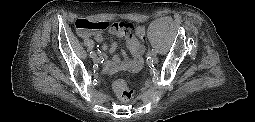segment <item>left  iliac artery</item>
<instances>
[{"mask_svg": "<svg viewBox=\"0 0 255 122\" xmlns=\"http://www.w3.org/2000/svg\"><path fill=\"white\" fill-rule=\"evenodd\" d=\"M151 53L156 55L158 53V51L156 49H152Z\"/></svg>", "mask_w": 255, "mask_h": 122, "instance_id": "44dca946", "label": "left iliac artery"}]
</instances>
